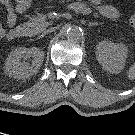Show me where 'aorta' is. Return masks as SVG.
<instances>
[{
    "mask_svg": "<svg viewBox=\"0 0 135 135\" xmlns=\"http://www.w3.org/2000/svg\"><path fill=\"white\" fill-rule=\"evenodd\" d=\"M66 36L69 40L79 41L83 37V31L78 25H69L66 28Z\"/></svg>",
    "mask_w": 135,
    "mask_h": 135,
    "instance_id": "762f6f07",
    "label": "aorta"
}]
</instances>
